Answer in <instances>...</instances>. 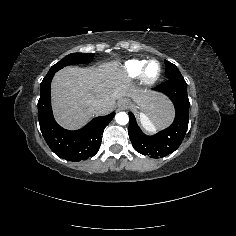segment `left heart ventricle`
Wrapping results in <instances>:
<instances>
[{
    "instance_id": "left-heart-ventricle-1",
    "label": "left heart ventricle",
    "mask_w": 236,
    "mask_h": 236,
    "mask_svg": "<svg viewBox=\"0 0 236 236\" xmlns=\"http://www.w3.org/2000/svg\"><path fill=\"white\" fill-rule=\"evenodd\" d=\"M160 73V65L157 62H152L148 66L147 74L150 78H155Z\"/></svg>"
}]
</instances>
